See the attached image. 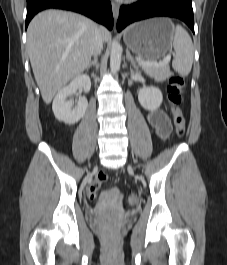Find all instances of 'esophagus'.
Instances as JSON below:
<instances>
[{
  "mask_svg": "<svg viewBox=\"0 0 227 265\" xmlns=\"http://www.w3.org/2000/svg\"><path fill=\"white\" fill-rule=\"evenodd\" d=\"M111 6H112V12H113V16H114V19L117 20L118 19V16H119V5L115 2H112L111 3Z\"/></svg>",
  "mask_w": 227,
  "mask_h": 265,
  "instance_id": "34e87169",
  "label": "esophagus"
}]
</instances>
